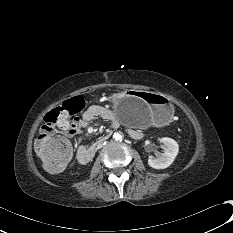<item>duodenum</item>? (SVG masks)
I'll list each match as a JSON object with an SVG mask.
<instances>
[{"label": "duodenum", "instance_id": "obj_1", "mask_svg": "<svg viewBox=\"0 0 233 233\" xmlns=\"http://www.w3.org/2000/svg\"><path fill=\"white\" fill-rule=\"evenodd\" d=\"M109 138V135H104L100 137L95 143L91 146H82L78 149L77 157L80 163L87 164L94 157L98 148Z\"/></svg>", "mask_w": 233, "mask_h": 233}]
</instances>
